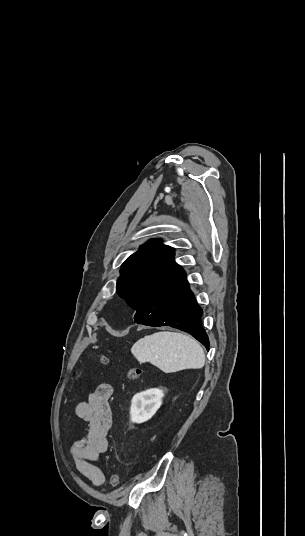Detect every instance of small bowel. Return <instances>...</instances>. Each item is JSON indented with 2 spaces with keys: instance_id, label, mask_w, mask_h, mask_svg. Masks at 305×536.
Segmentation results:
<instances>
[{
  "instance_id": "1",
  "label": "small bowel",
  "mask_w": 305,
  "mask_h": 536,
  "mask_svg": "<svg viewBox=\"0 0 305 536\" xmlns=\"http://www.w3.org/2000/svg\"><path fill=\"white\" fill-rule=\"evenodd\" d=\"M112 394L113 387L109 383H101L86 402L76 406L77 416L87 423L88 429L84 436L72 443L70 451L78 470L96 486L105 481L102 471L94 462L108 449L112 419L109 400Z\"/></svg>"
}]
</instances>
